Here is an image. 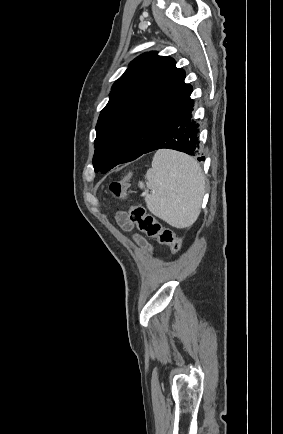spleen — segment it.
I'll list each match as a JSON object with an SVG mask.
<instances>
[{
  "mask_svg": "<svg viewBox=\"0 0 283 434\" xmlns=\"http://www.w3.org/2000/svg\"><path fill=\"white\" fill-rule=\"evenodd\" d=\"M145 179V202L152 214L176 228L194 224L201 210L205 179L193 157L159 150ZM139 187L144 188V183L139 182Z\"/></svg>",
  "mask_w": 283,
  "mask_h": 434,
  "instance_id": "3e777b00",
  "label": "spleen"
}]
</instances>
